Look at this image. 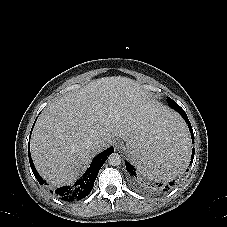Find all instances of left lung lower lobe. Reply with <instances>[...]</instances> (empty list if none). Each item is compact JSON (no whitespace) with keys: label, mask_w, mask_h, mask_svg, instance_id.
Listing matches in <instances>:
<instances>
[{"label":"left lung lower lobe","mask_w":227,"mask_h":227,"mask_svg":"<svg viewBox=\"0 0 227 227\" xmlns=\"http://www.w3.org/2000/svg\"><path fill=\"white\" fill-rule=\"evenodd\" d=\"M167 102L169 104V106L171 108H173L175 111H177L185 120V122L188 124L190 133H191V138H192V143L194 144V134H193V130H192V126L190 124V121L185 113V111L177 104L175 103L171 98H167ZM174 141L167 147V148H171L173 147ZM194 152H195V148L192 149V155H191V161L190 164L193 162V158H194ZM132 164H130L129 162L125 161L126 164V169L130 174L131 177V181L133 183V185L142 191L145 192H149V193H158V192H162V191H167L170 189V187H172L173 185H175V182L172 181L170 182L168 185H163V184H156V185H151V184H147L144 181H142L139 177H137L136 174V168L137 167L132 161Z\"/></svg>","instance_id":"1"}]
</instances>
